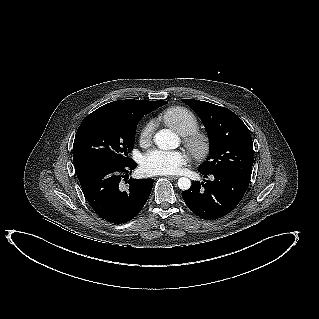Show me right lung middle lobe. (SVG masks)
Returning <instances> with one entry per match:
<instances>
[{
  "instance_id": "right-lung-middle-lobe-1",
  "label": "right lung middle lobe",
  "mask_w": 319,
  "mask_h": 319,
  "mask_svg": "<svg viewBox=\"0 0 319 319\" xmlns=\"http://www.w3.org/2000/svg\"><path fill=\"white\" fill-rule=\"evenodd\" d=\"M161 102L159 106L166 104ZM144 113L119 110L93 112L80 124L74 144L76 174L93 166H124L134 145L135 130Z\"/></svg>"
}]
</instances>
